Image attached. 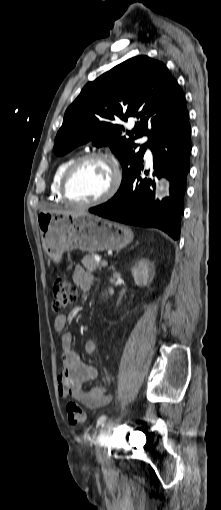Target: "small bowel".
I'll return each instance as SVG.
<instances>
[{
    "label": "small bowel",
    "mask_w": 221,
    "mask_h": 510,
    "mask_svg": "<svg viewBox=\"0 0 221 510\" xmlns=\"http://www.w3.org/2000/svg\"><path fill=\"white\" fill-rule=\"evenodd\" d=\"M73 281L83 291H89L93 284V275L81 265H77L73 271ZM67 316L58 315L54 319V328L57 331L65 330ZM62 343V366L58 376V391L61 397H71L82 403L89 409H96L110 400L108 388L104 384L93 386L85 390L84 385L97 377V371L90 365L85 364L78 354L73 350V336L64 333L61 337ZM97 345L94 341L88 340L85 343V352L89 355L95 354Z\"/></svg>",
    "instance_id": "small-bowel-1"
}]
</instances>
